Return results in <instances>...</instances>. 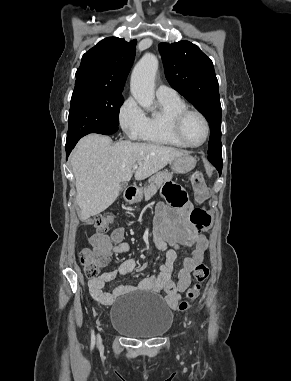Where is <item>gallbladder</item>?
<instances>
[{
	"instance_id": "bac80fb5",
	"label": "gallbladder",
	"mask_w": 291,
	"mask_h": 381,
	"mask_svg": "<svg viewBox=\"0 0 291 381\" xmlns=\"http://www.w3.org/2000/svg\"><path fill=\"white\" fill-rule=\"evenodd\" d=\"M126 187V183L121 184V189H124Z\"/></svg>"
}]
</instances>
